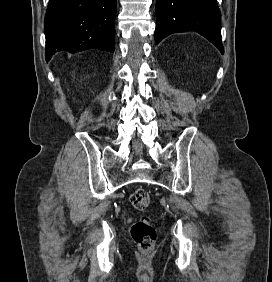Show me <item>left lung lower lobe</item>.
I'll use <instances>...</instances> for the list:
<instances>
[{
	"instance_id": "0a47b994",
	"label": "left lung lower lobe",
	"mask_w": 272,
	"mask_h": 282,
	"mask_svg": "<svg viewBox=\"0 0 272 282\" xmlns=\"http://www.w3.org/2000/svg\"><path fill=\"white\" fill-rule=\"evenodd\" d=\"M156 15L157 44L171 33L196 31L224 53L216 0H156Z\"/></svg>"
}]
</instances>
